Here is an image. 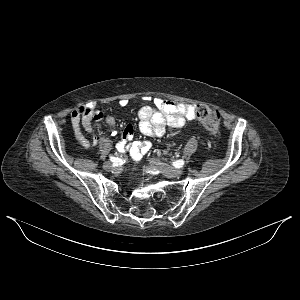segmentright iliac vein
<instances>
[{
    "label": "right iliac vein",
    "instance_id": "63e3f726",
    "mask_svg": "<svg viewBox=\"0 0 300 300\" xmlns=\"http://www.w3.org/2000/svg\"><path fill=\"white\" fill-rule=\"evenodd\" d=\"M103 167L106 170H116V168H114L110 162H104Z\"/></svg>",
    "mask_w": 300,
    "mask_h": 300
}]
</instances>
